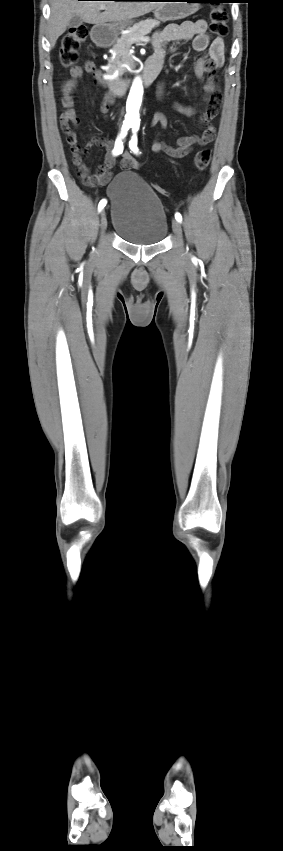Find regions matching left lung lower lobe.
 Segmentation results:
<instances>
[{
    "label": "left lung lower lobe",
    "instance_id": "left-lung-lower-lobe-1",
    "mask_svg": "<svg viewBox=\"0 0 283 851\" xmlns=\"http://www.w3.org/2000/svg\"><path fill=\"white\" fill-rule=\"evenodd\" d=\"M197 1H198V2H211V3H217V4H218L219 2H223V3H228V2H230V1H222V0H197Z\"/></svg>",
    "mask_w": 283,
    "mask_h": 851
}]
</instances>
